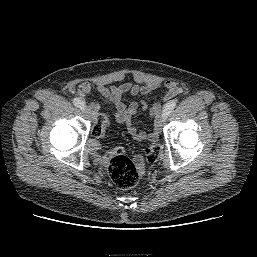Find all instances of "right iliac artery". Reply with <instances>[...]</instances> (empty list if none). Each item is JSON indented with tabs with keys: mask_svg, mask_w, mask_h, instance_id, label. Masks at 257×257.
<instances>
[{
	"mask_svg": "<svg viewBox=\"0 0 257 257\" xmlns=\"http://www.w3.org/2000/svg\"><path fill=\"white\" fill-rule=\"evenodd\" d=\"M73 103L76 107L80 108L81 110L84 108V102L78 97L73 99Z\"/></svg>",
	"mask_w": 257,
	"mask_h": 257,
	"instance_id": "right-iliac-artery-1",
	"label": "right iliac artery"
}]
</instances>
